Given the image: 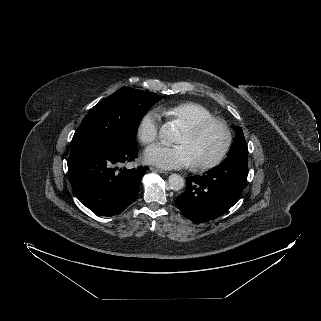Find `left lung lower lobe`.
I'll return each instance as SVG.
<instances>
[{
  "label": "left lung lower lobe",
  "instance_id": "1",
  "mask_svg": "<svg viewBox=\"0 0 321 321\" xmlns=\"http://www.w3.org/2000/svg\"><path fill=\"white\" fill-rule=\"evenodd\" d=\"M247 175L248 158L227 159L202 176L189 177L175 204L193 222L216 219L239 200Z\"/></svg>",
  "mask_w": 321,
  "mask_h": 321
}]
</instances>
